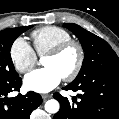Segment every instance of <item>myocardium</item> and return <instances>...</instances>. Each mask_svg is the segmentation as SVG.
<instances>
[{"mask_svg":"<svg viewBox=\"0 0 119 119\" xmlns=\"http://www.w3.org/2000/svg\"><path fill=\"white\" fill-rule=\"evenodd\" d=\"M70 48L76 49L78 58H77V63L73 68V70L68 74H66L65 76H63V79L66 81H71L75 79L83 67L84 60H85V51L81 43L71 39L57 45L56 47H54L53 49H51L49 52L46 53V56H60Z\"/></svg>","mask_w":119,"mask_h":119,"instance_id":"f54148a6","label":"myocardium"}]
</instances>
